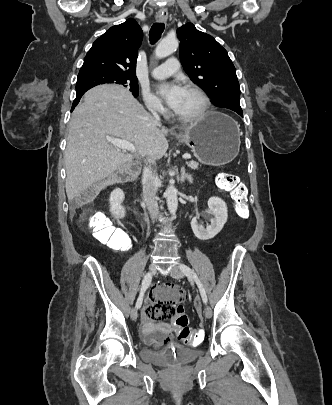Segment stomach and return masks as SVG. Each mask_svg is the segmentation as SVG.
I'll list each match as a JSON object with an SVG mask.
<instances>
[{
  "instance_id": "stomach-1",
  "label": "stomach",
  "mask_w": 332,
  "mask_h": 405,
  "mask_svg": "<svg viewBox=\"0 0 332 405\" xmlns=\"http://www.w3.org/2000/svg\"><path fill=\"white\" fill-rule=\"evenodd\" d=\"M241 134L238 124L225 114L209 112L189 130L176 136L203 164L220 166L236 158Z\"/></svg>"
}]
</instances>
